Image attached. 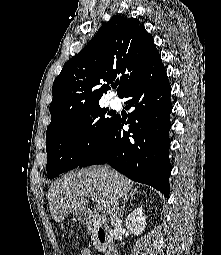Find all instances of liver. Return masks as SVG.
I'll list each match as a JSON object with an SVG mask.
<instances>
[{
  "mask_svg": "<svg viewBox=\"0 0 221 255\" xmlns=\"http://www.w3.org/2000/svg\"><path fill=\"white\" fill-rule=\"evenodd\" d=\"M133 189V182L108 166H92L66 173L51 184L47 198L52 218L62 222L69 213L85 209L88 196L95 194L110 214L115 202Z\"/></svg>",
  "mask_w": 221,
  "mask_h": 255,
  "instance_id": "obj_1",
  "label": "liver"
}]
</instances>
